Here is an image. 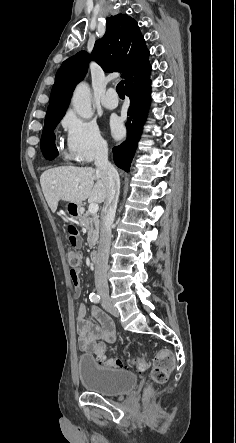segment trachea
Masks as SVG:
<instances>
[{
  "instance_id": "trachea-1",
  "label": "trachea",
  "mask_w": 236,
  "mask_h": 443,
  "mask_svg": "<svg viewBox=\"0 0 236 443\" xmlns=\"http://www.w3.org/2000/svg\"><path fill=\"white\" fill-rule=\"evenodd\" d=\"M116 91L120 97H124V81H120L116 87Z\"/></svg>"
}]
</instances>
